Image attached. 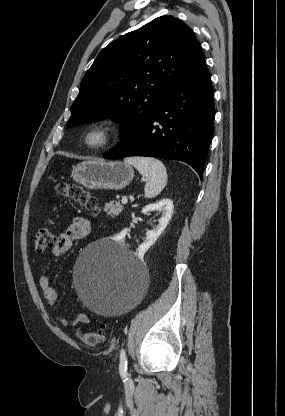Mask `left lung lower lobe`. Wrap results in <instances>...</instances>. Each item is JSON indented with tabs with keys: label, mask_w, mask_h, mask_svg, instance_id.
Segmentation results:
<instances>
[{
	"label": "left lung lower lobe",
	"mask_w": 285,
	"mask_h": 416,
	"mask_svg": "<svg viewBox=\"0 0 285 416\" xmlns=\"http://www.w3.org/2000/svg\"><path fill=\"white\" fill-rule=\"evenodd\" d=\"M214 116V92L203 58L194 72L104 158L146 156L180 160L202 178Z\"/></svg>",
	"instance_id": "0a47b994"
}]
</instances>
